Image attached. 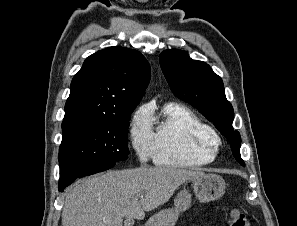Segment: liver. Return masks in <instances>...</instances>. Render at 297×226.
<instances>
[{
    "instance_id": "6515ba94",
    "label": "liver",
    "mask_w": 297,
    "mask_h": 226,
    "mask_svg": "<svg viewBox=\"0 0 297 226\" xmlns=\"http://www.w3.org/2000/svg\"><path fill=\"white\" fill-rule=\"evenodd\" d=\"M204 175L171 167H141L89 177L69 189L62 226H122L124 217L143 220L145 212L166 203L181 184Z\"/></svg>"
}]
</instances>
